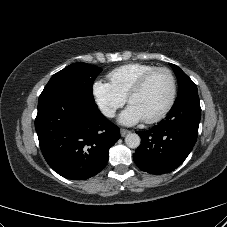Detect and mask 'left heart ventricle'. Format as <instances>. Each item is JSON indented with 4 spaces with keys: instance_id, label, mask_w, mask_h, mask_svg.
<instances>
[{
    "instance_id": "left-heart-ventricle-1",
    "label": "left heart ventricle",
    "mask_w": 227,
    "mask_h": 227,
    "mask_svg": "<svg viewBox=\"0 0 227 227\" xmlns=\"http://www.w3.org/2000/svg\"><path fill=\"white\" fill-rule=\"evenodd\" d=\"M171 92L169 76L165 72H157L151 76L141 91L135 94L132 105L143 119L159 113L167 104Z\"/></svg>"
}]
</instances>
